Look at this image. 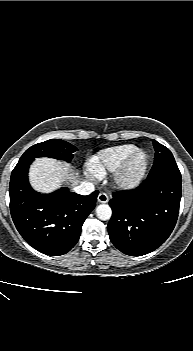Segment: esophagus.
<instances>
[{
  "label": "esophagus",
  "mask_w": 193,
  "mask_h": 351,
  "mask_svg": "<svg viewBox=\"0 0 193 351\" xmlns=\"http://www.w3.org/2000/svg\"><path fill=\"white\" fill-rule=\"evenodd\" d=\"M109 200V196L107 193L100 192L98 195V201L101 203H106Z\"/></svg>",
  "instance_id": "obj_1"
}]
</instances>
